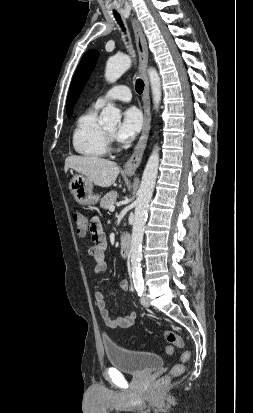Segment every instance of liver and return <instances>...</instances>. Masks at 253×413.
Returning a JSON list of instances; mask_svg holds the SVG:
<instances>
[{"instance_id":"1","label":"liver","mask_w":253,"mask_h":413,"mask_svg":"<svg viewBox=\"0 0 253 413\" xmlns=\"http://www.w3.org/2000/svg\"><path fill=\"white\" fill-rule=\"evenodd\" d=\"M69 168L83 174L89 181L100 187L111 186L120 171L115 162L94 156H69L65 160V172Z\"/></svg>"}]
</instances>
